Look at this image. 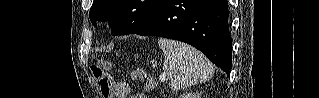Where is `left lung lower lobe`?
<instances>
[{
	"label": "left lung lower lobe",
	"mask_w": 319,
	"mask_h": 98,
	"mask_svg": "<svg viewBox=\"0 0 319 98\" xmlns=\"http://www.w3.org/2000/svg\"><path fill=\"white\" fill-rule=\"evenodd\" d=\"M134 33L188 43L230 74L227 0H161L146 24Z\"/></svg>",
	"instance_id": "left-lung-lower-lobe-1"
}]
</instances>
